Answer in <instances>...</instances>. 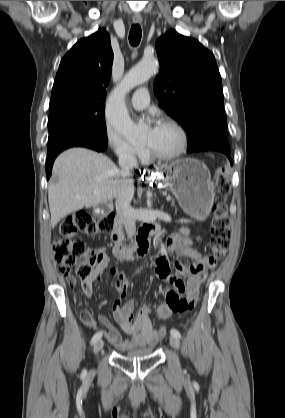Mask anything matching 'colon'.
I'll use <instances>...</instances> for the list:
<instances>
[{"instance_id": "1", "label": "colon", "mask_w": 285, "mask_h": 418, "mask_svg": "<svg viewBox=\"0 0 285 418\" xmlns=\"http://www.w3.org/2000/svg\"><path fill=\"white\" fill-rule=\"evenodd\" d=\"M224 168L220 167L213 176V184L220 194H227L229 184L225 180ZM117 218L114 215L105 216L99 220L94 219L85 211H75L61 221L57 234L53 238V250L56 264L64 275L69 274L70 268H75L76 274L81 279L91 276L93 268L103 261L100 256L86 259V248L82 241L77 239L78 233L87 235L103 234L113 229ZM230 219L227 207L224 203L216 204L212 209L211 238L209 247L212 255L207 258L205 267L212 269L216 265V258L226 254L229 247ZM165 258L161 249L157 259ZM72 281L69 282V285ZM188 309L193 308V302L188 303ZM157 338L166 334V329L161 327L156 332Z\"/></svg>"}]
</instances>
